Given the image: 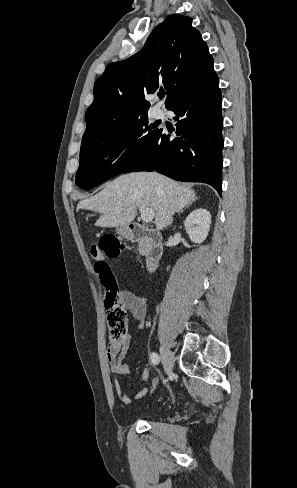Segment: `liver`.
<instances>
[{"label":"liver","mask_w":297,"mask_h":488,"mask_svg":"<svg viewBox=\"0 0 297 488\" xmlns=\"http://www.w3.org/2000/svg\"><path fill=\"white\" fill-rule=\"evenodd\" d=\"M196 199L194 190L156 172H136L121 175L106 183L95 196L82 200L80 209L99 212L95 225L122 228L131 223L137 208L154 210L158 229L167 225L169 217Z\"/></svg>","instance_id":"liver-1"}]
</instances>
